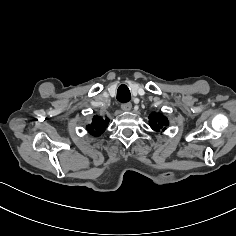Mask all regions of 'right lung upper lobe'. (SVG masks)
I'll list each match as a JSON object with an SVG mask.
<instances>
[{
	"instance_id": "cb5924a9",
	"label": "right lung upper lobe",
	"mask_w": 236,
	"mask_h": 236,
	"mask_svg": "<svg viewBox=\"0 0 236 236\" xmlns=\"http://www.w3.org/2000/svg\"><path fill=\"white\" fill-rule=\"evenodd\" d=\"M108 122H109L108 118L94 116L92 123L87 125V130L90 134L98 136L105 131Z\"/></svg>"
}]
</instances>
